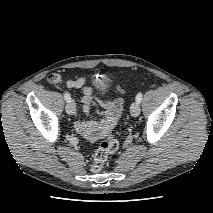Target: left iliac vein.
Here are the masks:
<instances>
[{"label":"left iliac vein","instance_id":"1","mask_svg":"<svg viewBox=\"0 0 213 213\" xmlns=\"http://www.w3.org/2000/svg\"><path fill=\"white\" fill-rule=\"evenodd\" d=\"M130 113L133 117H137L140 114V105L138 102H133L130 106Z\"/></svg>","mask_w":213,"mask_h":213}]
</instances>
